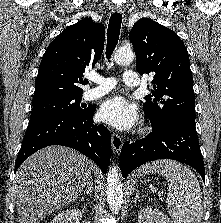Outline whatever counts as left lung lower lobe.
<instances>
[{"label":"left lung lower lobe","mask_w":221,"mask_h":223,"mask_svg":"<svg viewBox=\"0 0 221 223\" xmlns=\"http://www.w3.org/2000/svg\"><path fill=\"white\" fill-rule=\"evenodd\" d=\"M174 159L195 168L204 180L205 170L195 120L175 118L133 143L125 142L120 155L122 176L140 165L157 159Z\"/></svg>","instance_id":"0a47b994"}]
</instances>
